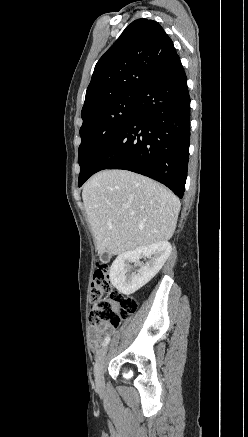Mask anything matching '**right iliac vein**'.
I'll use <instances>...</instances> for the list:
<instances>
[{"mask_svg":"<svg viewBox=\"0 0 248 437\" xmlns=\"http://www.w3.org/2000/svg\"><path fill=\"white\" fill-rule=\"evenodd\" d=\"M107 347H105L98 355L94 366V376L97 387H102L104 382V363L107 353Z\"/></svg>","mask_w":248,"mask_h":437,"instance_id":"obj_1","label":"right iliac vein"}]
</instances>
